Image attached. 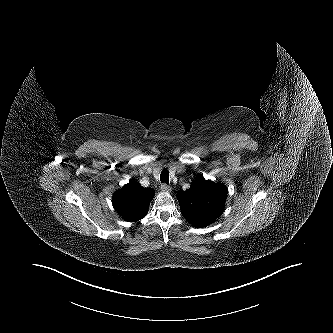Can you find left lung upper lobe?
Returning <instances> with one entry per match:
<instances>
[{"mask_svg":"<svg viewBox=\"0 0 333 333\" xmlns=\"http://www.w3.org/2000/svg\"><path fill=\"white\" fill-rule=\"evenodd\" d=\"M227 188L198 176L186 191H179L177 199L182 216L194 227L213 223L223 212Z\"/></svg>","mask_w":333,"mask_h":333,"instance_id":"1","label":"left lung upper lobe"}]
</instances>
